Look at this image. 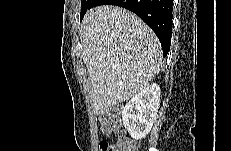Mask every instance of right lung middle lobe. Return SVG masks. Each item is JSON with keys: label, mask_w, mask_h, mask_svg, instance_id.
Wrapping results in <instances>:
<instances>
[{"label": "right lung middle lobe", "mask_w": 231, "mask_h": 151, "mask_svg": "<svg viewBox=\"0 0 231 151\" xmlns=\"http://www.w3.org/2000/svg\"><path fill=\"white\" fill-rule=\"evenodd\" d=\"M90 2H91L90 0L81 1V13H80L81 18L84 16L86 11L90 9Z\"/></svg>", "instance_id": "1"}]
</instances>
